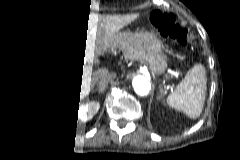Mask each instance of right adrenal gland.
I'll return each instance as SVG.
<instances>
[{
	"mask_svg": "<svg viewBox=\"0 0 240 160\" xmlns=\"http://www.w3.org/2000/svg\"><path fill=\"white\" fill-rule=\"evenodd\" d=\"M95 92H98L99 94H102V93H103V90H99V91L95 90L94 93H95Z\"/></svg>",
	"mask_w": 240,
	"mask_h": 160,
	"instance_id": "right-adrenal-gland-1",
	"label": "right adrenal gland"
}]
</instances>
